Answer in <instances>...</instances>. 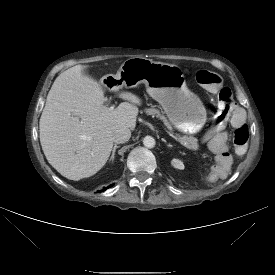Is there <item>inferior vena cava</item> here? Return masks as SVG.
I'll return each mask as SVG.
<instances>
[{
	"label": "inferior vena cava",
	"mask_w": 275,
	"mask_h": 275,
	"mask_svg": "<svg viewBox=\"0 0 275 275\" xmlns=\"http://www.w3.org/2000/svg\"><path fill=\"white\" fill-rule=\"evenodd\" d=\"M131 137V131L128 128H119L113 134V141L117 144L127 142Z\"/></svg>",
	"instance_id": "inferior-vena-cava-1"
}]
</instances>
